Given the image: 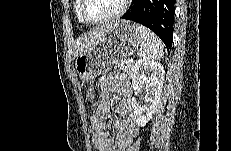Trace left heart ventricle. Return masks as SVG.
I'll return each instance as SVG.
<instances>
[{
  "instance_id": "1",
  "label": "left heart ventricle",
  "mask_w": 231,
  "mask_h": 151,
  "mask_svg": "<svg viewBox=\"0 0 231 151\" xmlns=\"http://www.w3.org/2000/svg\"><path fill=\"white\" fill-rule=\"evenodd\" d=\"M123 0H86L85 14L91 19H100L116 13Z\"/></svg>"
}]
</instances>
